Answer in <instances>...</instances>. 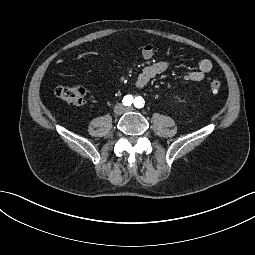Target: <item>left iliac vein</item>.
<instances>
[{
  "label": "left iliac vein",
  "instance_id": "4c4485c4",
  "mask_svg": "<svg viewBox=\"0 0 255 255\" xmlns=\"http://www.w3.org/2000/svg\"><path fill=\"white\" fill-rule=\"evenodd\" d=\"M131 110H133L132 107L126 108V111H131Z\"/></svg>",
  "mask_w": 255,
  "mask_h": 255
}]
</instances>
